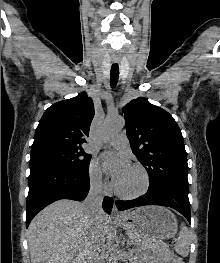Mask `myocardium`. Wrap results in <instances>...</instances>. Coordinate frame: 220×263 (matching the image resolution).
I'll use <instances>...</instances> for the list:
<instances>
[{"mask_svg":"<svg viewBox=\"0 0 220 263\" xmlns=\"http://www.w3.org/2000/svg\"><path fill=\"white\" fill-rule=\"evenodd\" d=\"M132 167L138 169L142 173L144 183H143V187L139 191L133 192V193L122 192L121 190H119L117 188L116 185H114L115 194L118 197L125 199V200H133V199H137V198L142 197L143 195H145L148 192L149 187H150V176H149L147 169L140 163H134V164H132Z\"/></svg>","mask_w":220,"mask_h":263,"instance_id":"obj_1","label":"myocardium"}]
</instances>
